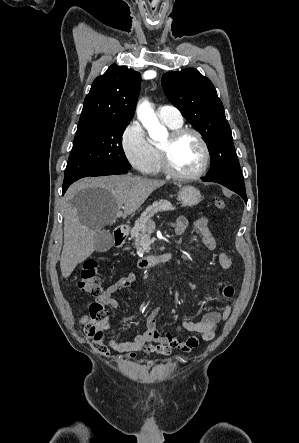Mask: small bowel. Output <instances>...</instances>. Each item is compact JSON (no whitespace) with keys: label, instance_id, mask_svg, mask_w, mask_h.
Listing matches in <instances>:
<instances>
[{"label":"small bowel","instance_id":"obj_1","mask_svg":"<svg viewBox=\"0 0 299 443\" xmlns=\"http://www.w3.org/2000/svg\"><path fill=\"white\" fill-rule=\"evenodd\" d=\"M188 226L185 217L180 216L176 220L175 231L177 234H183ZM195 229L200 233L202 242L209 250L217 248L216 240L208 227V221L205 217H199L194 222ZM218 262L221 268L229 270L232 267V260L225 252L218 254ZM135 281L134 274H128L119 278L116 282L110 284L96 299V302L111 308H118L119 301L113 296L114 293L128 287ZM221 296L226 300H233L235 296L234 287L231 284H224L221 288ZM161 312L160 307H154L146 317L145 329L137 333L130 341L111 340L110 347L119 354H124L126 358L133 359L136 353L140 351L146 343H153L155 346L151 350L168 354L171 350H179L189 353L195 349L200 341H211L214 339L218 325L228 319L232 312V304H225L221 310L207 312L200 321H191L187 317L182 320L185 330L198 334L189 336L185 339H179L170 332L162 331L159 328L157 318ZM87 316H84L82 322L85 324Z\"/></svg>","mask_w":299,"mask_h":443}]
</instances>
